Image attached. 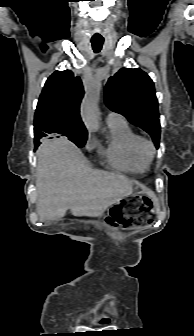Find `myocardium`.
<instances>
[{"mask_svg": "<svg viewBox=\"0 0 194 336\" xmlns=\"http://www.w3.org/2000/svg\"><path fill=\"white\" fill-rule=\"evenodd\" d=\"M139 150L141 155L148 161L152 160L156 155V146L152 140L140 138Z\"/></svg>", "mask_w": 194, "mask_h": 336, "instance_id": "obj_1", "label": "myocardium"}]
</instances>
